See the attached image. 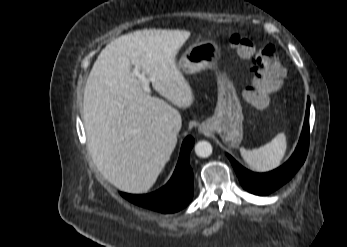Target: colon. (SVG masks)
Instances as JSON below:
<instances>
[{
    "label": "colon",
    "mask_w": 347,
    "mask_h": 247,
    "mask_svg": "<svg viewBox=\"0 0 347 247\" xmlns=\"http://www.w3.org/2000/svg\"><path fill=\"white\" fill-rule=\"evenodd\" d=\"M229 42L240 57L251 62L253 85L244 92L246 102L254 107H263L266 97L276 92L284 80V70L274 47L258 46L253 39L240 34H233Z\"/></svg>",
    "instance_id": "5ec220e1"
}]
</instances>
